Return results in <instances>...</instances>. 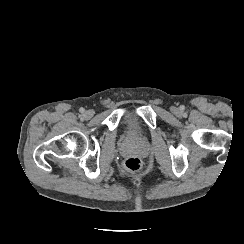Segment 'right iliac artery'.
<instances>
[{"instance_id":"1","label":"right iliac artery","mask_w":244,"mask_h":244,"mask_svg":"<svg viewBox=\"0 0 244 244\" xmlns=\"http://www.w3.org/2000/svg\"><path fill=\"white\" fill-rule=\"evenodd\" d=\"M80 112L83 113L84 112V109L83 108H80Z\"/></svg>"}]
</instances>
